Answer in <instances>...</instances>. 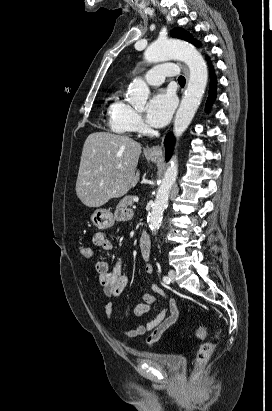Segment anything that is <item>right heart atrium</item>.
<instances>
[{"mask_svg": "<svg viewBox=\"0 0 272 411\" xmlns=\"http://www.w3.org/2000/svg\"><path fill=\"white\" fill-rule=\"evenodd\" d=\"M128 122L131 131H140L143 128V120L141 115L133 109L129 112Z\"/></svg>", "mask_w": 272, "mask_h": 411, "instance_id": "d8ad5b80", "label": "right heart atrium"}]
</instances>
